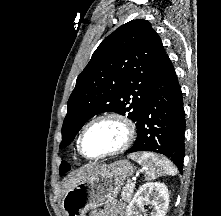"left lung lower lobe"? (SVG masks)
I'll list each match as a JSON object with an SVG mask.
<instances>
[{"label":"left lung lower lobe","instance_id":"left-lung-lower-lobe-1","mask_svg":"<svg viewBox=\"0 0 221 216\" xmlns=\"http://www.w3.org/2000/svg\"><path fill=\"white\" fill-rule=\"evenodd\" d=\"M137 130L135 143L125 153L157 152L167 156L182 172L185 154L183 98L177 75L166 53L153 75Z\"/></svg>","mask_w":221,"mask_h":216}]
</instances>
